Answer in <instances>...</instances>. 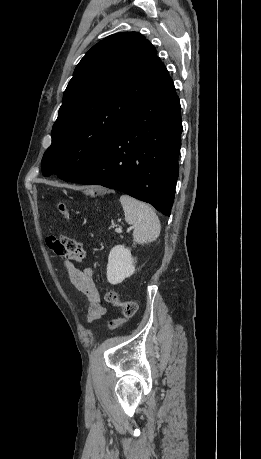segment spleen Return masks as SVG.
I'll use <instances>...</instances> for the list:
<instances>
[{
    "label": "spleen",
    "instance_id": "obj_1",
    "mask_svg": "<svg viewBox=\"0 0 261 459\" xmlns=\"http://www.w3.org/2000/svg\"><path fill=\"white\" fill-rule=\"evenodd\" d=\"M125 220L134 228L133 239L138 244H147L155 241L161 230V225L155 211L144 202L128 195L120 197Z\"/></svg>",
    "mask_w": 261,
    "mask_h": 459
}]
</instances>
